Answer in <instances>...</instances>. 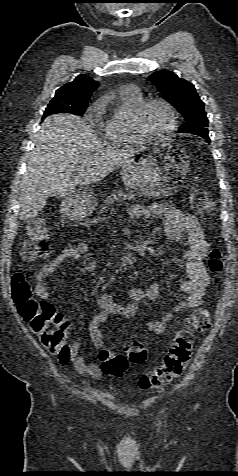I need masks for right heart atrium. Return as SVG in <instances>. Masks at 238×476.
Here are the masks:
<instances>
[{
  "label": "right heart atrium",
  "instance_id": "right-heart-atrium-1",
  "mask_svg": "<svg viewBox=\"0 0 238 476\" xmlns=\"http://www.w3.org/2000/svg\"><path fill=\"white\" fill-rule=\"evenodd\" d=\"M96 108H97V107H96V106H94L92 110H95Z\"/></svg>",
  "mask_w": 238,
  "mask_h": 476
}]
</instances>
